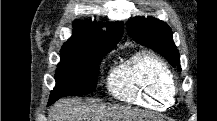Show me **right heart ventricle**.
I'll use <instances>...</instances> for the list:
<instances>
[{
	"label": "right heart ventricle",
	"mask_w": 217,
	"mask_h": 121,
	"mask_svg": "<svg viewBox=\"0 0 217 121\" xmlns=\"http://www.w3.org/2000/svg\"><path fill=\"white\" fill-rule=\"evenodd\" d=\"M172 75L157 55L141 51L121 63L111 73L108 88L121 101L153 109H164L173 101Z\"/></svg>",
	"instance_id": "e07e8e85"
}]
</instances>
